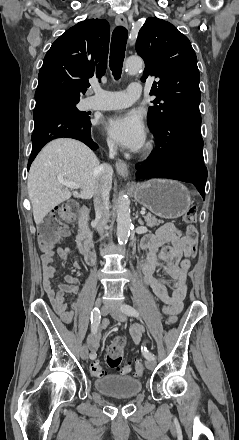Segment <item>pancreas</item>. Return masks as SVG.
Returning <instances> with one entry per match:
<instances>
[{"label": "pancreas", "instance_id": "obj_1", "mask_svg": "<svg viewBox=\"0 0 239 440\" xmlns=\"http://www.w3.org/2000/svg\"><path fill=\"white\" fill-rule=\"evenodd\" d=\"M146 226H150V228H154V226H160V224H164V220H158L152 214H147V216H143Z\"/></svg>", "mask_w": 239, "mask_h": 440}]
</instances>
